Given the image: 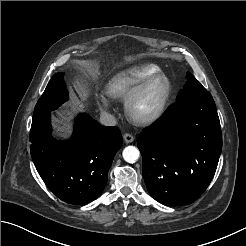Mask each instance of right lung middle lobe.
Here are the masks:
<instances>
[{
	"label": "right lung middle lobe",
	"mask_w": 246,
	"mask_h": 246,
	"mask_svg": "<svg viewBox=\"0 0 246 246\" xmlns=\"http://www.w3.org/2000/svg\"><path fill=\"white\" fill-rule=\"evenodd\" d=\"M63 77L64 73L61 72L53 75L35 106L34 114L42 111H54L68 99Z\"/></svg>",
	"instance_id": "dd1d6c3e"
}]
</instances>
